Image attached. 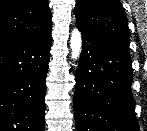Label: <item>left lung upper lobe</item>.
I'll return each instance as SVG.
<instances>
[{"label": "left lung upper lobe", "instance_id": "left-lung-upper-lobe-1", "mask_svg": "<svg viewBox=\"0 0 147 131\" xmlns=\"http://www.w3.org/2000/svg\"><path fill=\"white\" fill-rule=\"evenodd\" d=\"M77 25L87 32L129 50V28L119 0H76Z\"/></svg>", "mask_w": 147, "mask_h": 131}]
</instances>
